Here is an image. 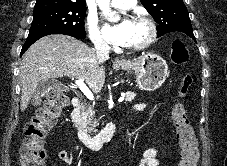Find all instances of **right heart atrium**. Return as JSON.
Returning a JSON list of instances; mask_svg holds the SVG:
<instances>
[{
  "instance_id": "1",
  "label": "right heart atrium",
  "mask_w": 227,
  "mask_h": 166,
  "mask_svg": "<svg viewBox=\"0 0 227 166\" xmlns=\"http://www.w3.org/2000/svg\"><path fill=\"white\" fill-rule=\"evenodd\" d=\"M85 26L94 46L99 48H105L109 45L106 36L101 31L96 18L88 16L85 22Z\"/></svg>"
}]
</instances>
